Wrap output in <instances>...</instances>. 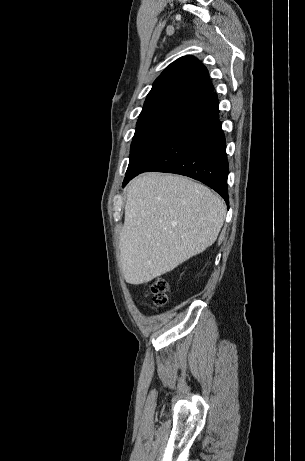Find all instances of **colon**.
Returning a JSON list of instances; mask_svg holds the SVG:
<instances>
[{
	"instance_id": "1",
	"label": "colon",
	"mask_w": 305,
	"mask_h": 461,
	"mask_svg": "<svg viewBox=\"0 0 305 461\" xmlns=\"http://www.w3.org/2000/svg\"><path fill=\"white\" fill-rule=\"evenodd\" d=\"M146 295L150 297L152 304L163 307L168 302V283L162 277H156L147 282Z\"/></svg>"
}]
</instances>
